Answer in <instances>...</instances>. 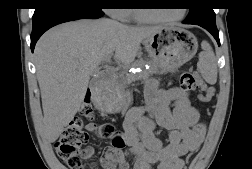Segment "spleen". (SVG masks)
I'll return each instance as SVG.
<instances>
[{"label":"spleen","mask_w":252,"mask_h":169,"mask_svg":"<svg viewBox=\"0 0 252 169\" xmlns=\"http://www.w3.org/2000/svg\"><path fill=\"white\" fill-rule=\"evenodd\" d=\"M202 52L199 53L197 69L203 79L213 85L217 81V61L212 47L207 41L201 43Z\"/></svg>","instance_id":"spleen-1"}]
</instances>
